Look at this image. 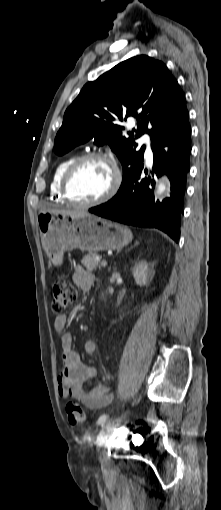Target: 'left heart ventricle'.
Segmentation results:
<instances>
[{
  "instance_id": "1",
  "label": "left heart ventricle",
  "mask_w": 221,
  "mask_h": 510,
  "mask_svg": "<svg viewBox=\"0 0 221 510\" xmlns=\"http://www.w3.org/2000/svg\"><path fill=\"white\" fill-rule=\"evenodd\" d=\"M111 166L103 160L84 162L74 173L69 190L74 199L89 202L104 195L113 183Z\"/></svg>"
}]
</instances>
